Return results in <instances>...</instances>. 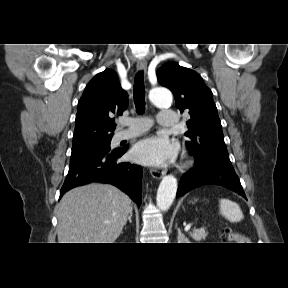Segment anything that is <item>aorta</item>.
<instances>
[{
	"mask_svg": "<svg viewBox=\"0 0 288 288\" xmlns=\"http://www.w3.org/2000/svg\"><path fill=\"white\" fill-rule=\"evenodd\" d=\"M149 99L158 107H169L172 104V94L162 88L152 89ZM177 180L173 175L164 176L157 190L156 203L159 209L167 211L176 196Z\"/></svg>",
	"mask_w": 288,
	"mask_h": 288,
	"instance_id": "aorta-1",
	"label": "aorta"
}]
</instances>
